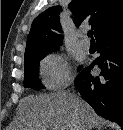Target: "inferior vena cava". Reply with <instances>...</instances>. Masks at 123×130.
<instances>
[{
  "instance_id": "1",
  "label": "inferior vena cava",
  "mask_w": 123,
  "mask_h": 130,
  "mask_svg": "<svg viewBox=\"0 0 123 130\" xmlns=\"http://www.w3.org/2000/svg\"><path fill=\"white\" fill-rule=\"evenodd\" d=\"M75 124V128H73V130H78V126H76L77 122L74 123Z\"/></svg>"
}]
</instances>
